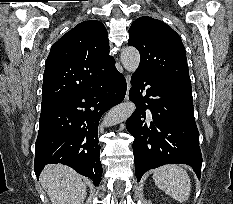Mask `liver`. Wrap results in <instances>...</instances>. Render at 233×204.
<instances>
[{
    "label": "liver",
    "instance_id": "1",
    "mask_svg": "<svg viewBox=\"0 0 233 204\" xmlns=\"http://www.w3.org/2000/svg\"><path fill=\"white\" fill-rule=\"evenodd\" d=\"M39 180L52 204H82L87 195L83 178L62 164L47 165Z\"/></svg>",
    "mask_w": 233,
    "mask_h": 204
}]
</instances>
